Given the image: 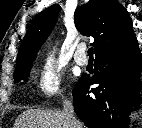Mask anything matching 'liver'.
I'll return each instance as SVG.
<instances>
[{"mask_svg":"<svg viewBox=\"0 0 142 128\" xmlns=\"http://www.w3.org/2000/svg\"><path fill=\"white\" fill-rule=\"evenodd\" d=\"M78 128L84 125L77 120ZM70 121L63 111L30 109L19 115L14 128H70Z\"/></svg>","mask_w":142,"mask_h":128,"instance_id":"6515ba94","label":"liver"}]
</instances>
